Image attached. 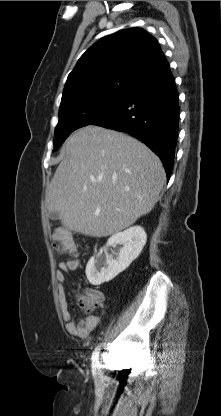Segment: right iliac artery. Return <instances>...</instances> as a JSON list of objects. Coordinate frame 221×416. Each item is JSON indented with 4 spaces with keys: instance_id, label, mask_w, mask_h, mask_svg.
<instances>
[{
    "instance_id": "1",
    "label": "right iliac artery",
    "mask_w": 221,
    "mask_h": 416,
    "mask_svg": "<svg viewBox=\"0 0 221 416\" xmlns=\"http://www.w3.org/2000/svg\"><path fill=\"white\" fill-rule=\"evenodd\" d=\"M100 347L101 346H97V348L92 353L91 360H92V365L93 366H98L99 365L98 359H99Z\"/></svg>"
}]
</instances>
